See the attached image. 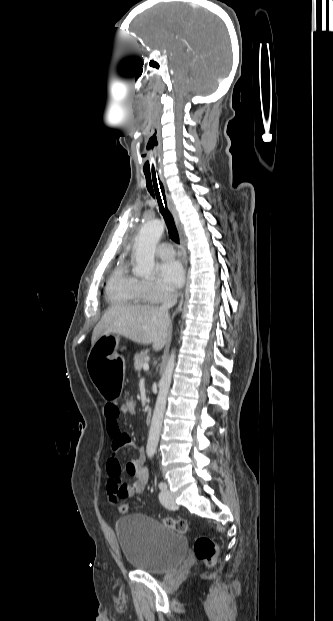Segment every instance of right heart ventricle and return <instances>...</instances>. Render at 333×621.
<instances>
[{
    "instance_id": "1",
    "label": "right heart ventricle",
    "mask_w": 333,
    "mask_h": 621,
    "mask_svg": "<svg viewBox=\"0 0 333 621\" xmlns=\"http://www.w3.org/2000/svg\"><path fill=\"white\" fill-rule=\"evenodd\" d=\"M106 296L113 304L139 305L147 301L141 288V281L129 271L125 261L119 262L112 271L106 287Z\"/></svg>"
}]
</instances>
